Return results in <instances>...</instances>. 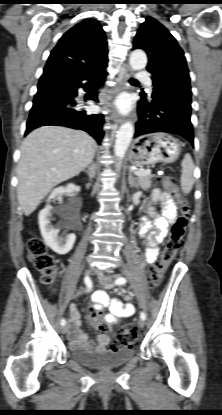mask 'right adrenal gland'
<instances>
[{"label": "right adrenal gland", "instance_id": "1", "mask_svg": "<svg viewBox=\"0 0 222 415\" xmlns=\"http://www.w3.org/2000/svg\"><path fill=\"white\" fill-rule=\"evenodd\" d=\"M88 174L89 180L91 181L95 177V166L93 164L89 165L87 170H84Z\"/></svg>", "mask_w": 222, "mask_h": 415}]
</instances>
